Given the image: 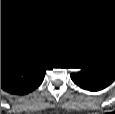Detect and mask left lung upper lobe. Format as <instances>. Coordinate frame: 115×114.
<instances>
[{
	"label": "left lung upper lobe",
	"mask_w": 115,
	"mask_h": 114,
	"mask_svg": "<svg viewBox=\"0 0 115 114\" xmlns=\"http://www.w3.org/2000/svg\"><path fill=\"white\" fill-rule=\"evenodd\" d=\"M84 61L95 62L115 71V36L105 39Z\"/></svg>",
	"instance_id": "left-lung-upper-lobe-1"
}]
</instances>
